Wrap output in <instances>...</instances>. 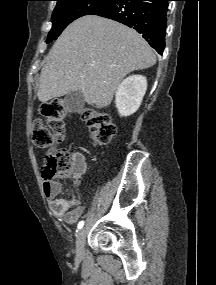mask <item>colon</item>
Returning <instances> with one entry per match:
<instances>
[{"label":"colon","instance_id":"colon-1","mask_svg":"<svg viewBox=\"0 0 216 285\" xmlns=\"http://www.w3.org/2000/svg\"><path fill=\"white\" fill-rule=\"evenodd\" d=\"M41 114L45 121L36 119L33 124L32 138L35 145L47 148L54 143L62 142L66 116L63 102L55 99L43 104ZM82 117L96 145H106L114 138L116 127L106 113L86 108L82 111ZM46 158V180H51L54 176H65L72 169L73 159L67 149H59Z\"/></svg>","mask_w":216,"mask_h":285}]
</instances>
